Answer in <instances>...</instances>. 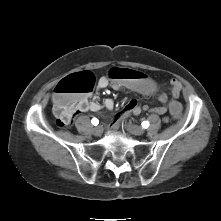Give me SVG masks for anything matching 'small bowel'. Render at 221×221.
I'll return each mask as SVG.
<instances>
[{
    "label": "small bowel",
    "mask_w": 221,
    "mask_h": 221,
    "mask_svg": "<svg viewBox=\"0 0 221 221\" xmlns=\"http://www.w3.org/2000/svg\"><path fill=\"white\" fill-rule=\"evenodd\" d=\"M170 84H171V98H170V100H172V99L177 100L179 98L181 90H182L181 83L175 79H172ZM109 86L115 90H119L122 88L129 89L127 86H124L123 84L110 82L107 79V77H105V76H102L98 79V81H97V88L98 89H105ZM156 98L159 100L160 103H162V104L166 103V104L163 106H160L158 108L151 109L150 111L156 112L158 114H164L167 111L170 112V110L168 108V103L170 101L168 95L165 94L163 91H158L156 93ZM76 107H77L76 114H81V113H85V112H89V111L90 112H98L101 109L100 104L92 100V93H86L84 95H81L76 102ZM104 107L108 110H112L114 107L113 100L106 99L104 102ZM144 108L147 109V107H144ZM141 110H142V107L138 104V102L135 99L130 100L127 103V105L125 106V108L115 116V118L111 124V127L113 129L117 128L120 122L124 121L126 118H128L132 114H134V115L139 114L141 112ZM164 120L166 121L167 119L164 118Z\"/></svg>",
    "instance_id": "obj_1"
}]
</instances>
